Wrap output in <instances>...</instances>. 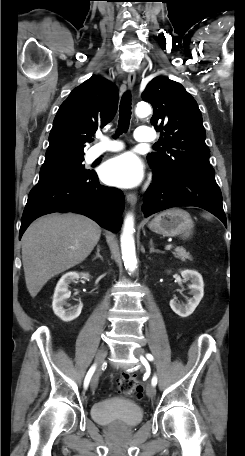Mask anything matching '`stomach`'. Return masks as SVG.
I'll return each instance as SVG.
<instances>
[{
  "instance_id": "1",
  "label": "stomach",
  "mask_w": 245,
  "mask_h": 456,
  "mask_svg": "<svg viewBox=\"0 0 245 456\" xmlns=\"http://www.w3.org/2000/svg\"><path fill=\"white\" fill-rule=\"evenodd\" d=\"M194 224L190 214L180 208H172L163 211L152 219L148 228L163 236L188 237L193 230Z\"/></svg>"
}]
</instances>
